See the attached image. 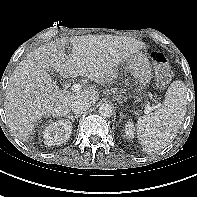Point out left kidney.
Instances as JSON below:
<instances>
[{"label":"left kidney","mask_w":197,"mask_h":197,"mask_svg":"<svg viewBox=\"0 0 197 197\" xmlns=\"http://www.w3.org/2000/svg\"><path fill=\"white\" fill-rule=\"evenodd\" d=\"M125 133H126V136H128L131 139L134 137V125L131 121H128L125 124Z\"/></svg>","instance_id":"1"}]
</instances>
